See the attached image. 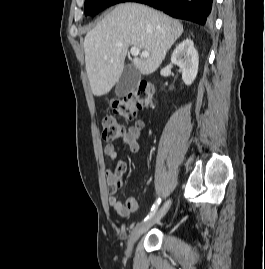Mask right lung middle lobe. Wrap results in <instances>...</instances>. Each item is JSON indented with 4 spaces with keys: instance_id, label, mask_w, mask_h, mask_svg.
Segmentation results:
<instances>
[{
    "instance_id": "obj_1",
    "label": "right lung middle lobe",
    "mask_w": 265,
    "mask_h": 269,
    "mask_svg": "<svg viewBox=\"0 0 265 269\" xmlns=\"http://www.w3.org/2000/svg\"><path fill=\"white\" fill-rule=\"evenodd\" d=\"M127 0H85V15H96L103 9Z\"/></svg>"
}]
</instances>
